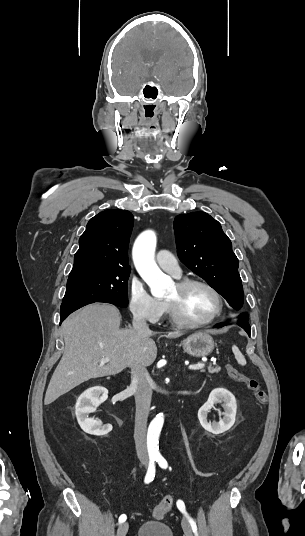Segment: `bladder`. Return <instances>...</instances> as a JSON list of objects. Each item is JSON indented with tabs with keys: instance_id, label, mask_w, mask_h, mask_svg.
<instances>
[{
	"instance_id": "31cf9c89",
	"label": "bladder",
	"mask_w": 305,
	"mask_h": 536,
	"mask_svg": "<svg viewBox=\"0 0 305 536\" xmlns=\"http://www.w3.org/2000/svg\"><path fill=\"white\" fill-rule=\"evenodd\" d=\"M135 536H174L166 521L147 520L137 526Z\"/></svg>"
}]
</instances>
